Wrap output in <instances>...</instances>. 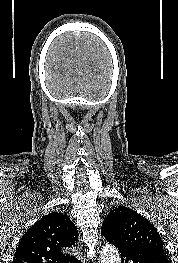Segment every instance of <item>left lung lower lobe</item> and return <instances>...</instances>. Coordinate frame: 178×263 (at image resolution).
<instances>
[{"mask_svg":"<svg viewBox=\"0 0 178 263\" xmlns=\"http://www.w3.org/2000/svg\"><path fill=\"white\" fill-rule=\"evenodd\" d=\"M106 240L114 244L121 253V263H169L165 254L154 249L133 246L116 240L109 232L101 231Z\"/></svg>","mask_w":178,"mask_h":263,"instance_id":"0a47b994","label":"left lung lower lobe"}]
</instances>
